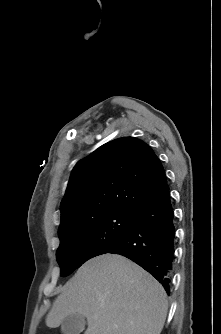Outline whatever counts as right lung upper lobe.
<instances>
[{"label":"right lung upper lobe","mask_w":221,"mask_h":334,"mask_svg":"<svg viewBox=\"0 0 221 334\" xmlns=\"http://www.w3.org/2000/svg\"><path fill=\"white\" fill-rule=\"evenodd\" d=\"M166 184L164 168L145 142L134 137L108 142L72 170L61 202L59 236L97 215L134 214Z\"/></svg>","instance_id":"1"}]
</instances>
